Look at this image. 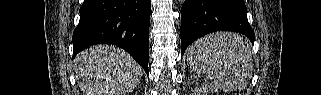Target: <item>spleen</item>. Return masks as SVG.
Returning a JSON list of instances; mask_svg holds the SVG:
<instances>
[{"mask_svg": "<svg viewBox=\"0 0 321 95\" xmlns=\"http://www.w3.org/2000/svg\"><path fill=\"white\" fill-rule=\"evenodd\" d=\"M187 61L198 74L225 91L243 89L253 72V59L246 39L232 32H217L195 41Z\"/></svg>", "mask_w": 321, "mask_h": 95, "instance_id": "obj_1", "label": "spleen"}]
</instances>
